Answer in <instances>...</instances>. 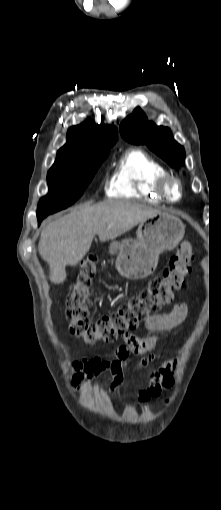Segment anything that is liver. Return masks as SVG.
<instances>
[{
  "label": "liver",
  "instance_id": "obj_1",
  "mask_svg": "<svg viewBox=\"0 0 221 510\" xmlns=\"http://www.w3.org/2000/svg\"><path fill=\"white\" fill-rule=\"evenodd\" d=\"M158 213V209L140 203L109 199L83 205L49 222L41 231L38 251L49 264L50 281H65L66 266H75L83 259L95 235L101 242L113 240Z\"/></svg>",
  "mask_w": 221,
  "mask_h": 510
}]
</instances>
